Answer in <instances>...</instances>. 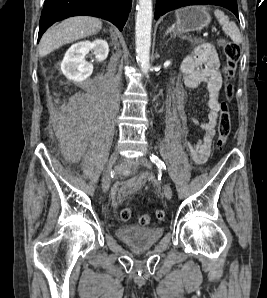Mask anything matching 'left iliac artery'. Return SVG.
Masks as SVG:
<instances>
[{
	"mask_svg": "<svg viewBox=\"0 0 267 298\" xmlns=\"http://www.w3.org/2000/svg\"><path fill=\"white\" fill-rule=\"evenodd\" d=\"M150 160L152 161V163H154L157 166L158 169L166 170V166L164 162L155 154L150 155Z\"/></svg>",
	"mask_w": 267,
	"mask_h": 298,
	"instance_id": "1",
	"label": "left iliac artery"
}]
</instances>
